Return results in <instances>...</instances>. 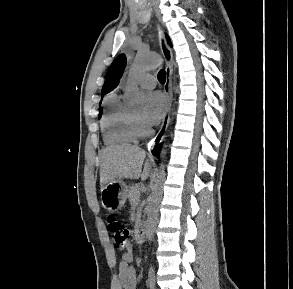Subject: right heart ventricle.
<instances>
[{"label": "right heart ventricle", "mask_w": 293, "mask_h": 289, "mask_svg": "<svg viewBox=\"0 0 293 289\" xmlns=\"http://www.w3.org/2000/svg\"><path fill=\"white\" fill-rule=\"evenodd\" d=\"M105 114L101 121L104 141L107 145H123L137 139L133 113L113 92L105 99Z\"/></svg>", "instance_id": "e07e8e85"}]
</instances>
